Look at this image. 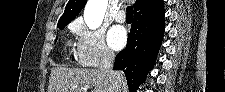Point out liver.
<instances>
[{"label": "liver", "instance_id": "1", "mask_svg": "<svg viewBox=\"0 0 225 92\" xmlns=\"http://www.w3.org/2000/svg\"><path fill=\"white\" fill-rule=\"evenodd\" d=\"M119 92H126L125 76L116 71ZM85 85L94 87L93 92H112L109 76L99 69L55 67L51 70L47 92H87Z\"/></svg>", "mask_w": 225, "mask_h": 92}]
</instances>
